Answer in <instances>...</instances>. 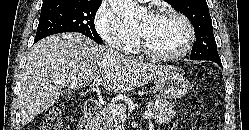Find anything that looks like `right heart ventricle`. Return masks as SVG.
Here are the masks:
<instances>
[{"mask_svg":"<svg viewBox=\"0 0 249 130\" xmlns=\"http://www.w3.org/2000/svg\"><path fill=\"white\" fill-rule=\"evenodd\" d=\"M137 50H138V40L136 39V42L133 47V51H137Z\"/></svg>","mask_w":249,"mask_h":130,"instance_id":"obj_1","label":"right heart ventricle"}]
</instances>
